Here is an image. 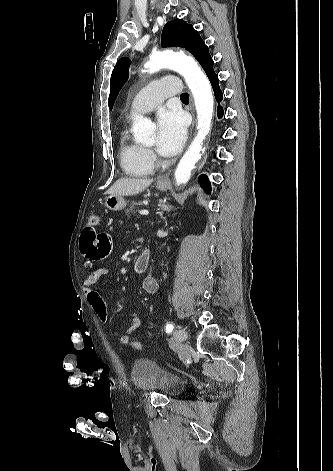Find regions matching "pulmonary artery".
Wrapping results in <instances>:
<instances>
[{
	"label": "pulmonary artery",
	"mask_w": 333,
	"mask_h": 471,
	"mask_svg": "<svg viewBox=\"0 0 333 471\" xmlns=\"http://www.w3.org/2000/svg\"><path fill=\"white\" fill-rule=\"evenodd\" d=\"M180 83L175 77H164L155 80L143 88L131 104V114H141L153 111L165 98L179 94Z\"/></svg>",
	"instance_id": "e3ab8cb5"
}]
</instances>
